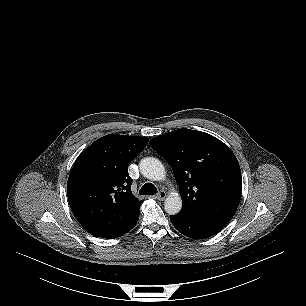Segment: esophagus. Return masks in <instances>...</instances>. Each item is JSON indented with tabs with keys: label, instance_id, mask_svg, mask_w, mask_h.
Segmentation results:
<instances>
[{
	"label": "esophagus",
	"instance_id": "34e87169",
	"mask_svg": "<svg viewBox=\"0 0 306 306\" xmlns=\"http://www.w3.org/2000/svg\"><path fill=\"white\" fill-rule=\"evenodd\" d=\"M167 196V193L166 191L164 190H161L159 191V193L156 195V198L159 200V201H163Z\"/></svg>",
	"mask_w": 306,
	"mask_h": 306
}]
</instances>
